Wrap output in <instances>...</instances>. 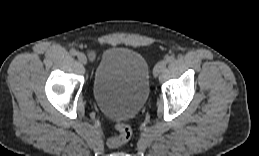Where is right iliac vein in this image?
<instances>
[{
  "instance_id": "63e3f726",
  "label": "right iliac vein",
  "mask_w": 259,
  "mask_h": 156,
  "mask_svg": "<svg viewBox=\"0 0 259 156\" xmlns=\"http://www.w3.org/2000/svg\"><path fill=\"white\" fill-rule=\"evenodd\" d=\"M77 57H78V60H79L82 64H84V65L87 64V58H86V56H85L84 53H78Z\"/></svg>"
}]
</instances>
